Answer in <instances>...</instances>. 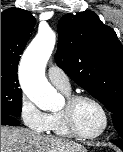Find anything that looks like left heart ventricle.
Here are the masks:
<instances>
[{"instance_id": "b2bd125f", "label": "left heart ventricle", "mask_w": 123, "mask_h": 152, "mask_svg": "<svg viewBox=\"0 0 123 152\" xmlns=\"http://www.w3.org/2000/svg\"><path fill=\"white\" fill-rule=\"evenodd\" d=\"M74 119L79 131L93 134L99 131L103 125V115L93 103L80 101L74 109Z\"/></svg>"}]
</instances>
